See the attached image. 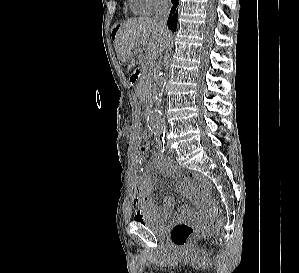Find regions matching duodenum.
I'll list each match as a JSON object with an SVG mask.
<instances>
[{"label": "duodenum", "instance_id": "obj_1", "mask_svg": "<svg viewBox=\"0 0 299 273\" xmlns=\"http://www.w3.org/2000/svg\"><path fill=\"white\" fill-rule=\"evenodd\" d=\"M141 74H142V69L136 68L131 74V77H130L131 83L135 84L137 82V80L140 78ZM147 104L149 105V102H147Z\"/></svg>", "mask_w": 299, "mask_h": 273}]
</instances>
